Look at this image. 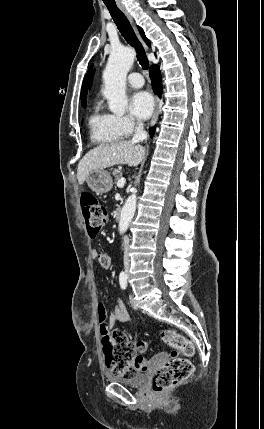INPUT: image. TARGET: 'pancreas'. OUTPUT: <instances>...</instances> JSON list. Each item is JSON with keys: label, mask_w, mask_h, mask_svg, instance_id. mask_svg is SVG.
<instances>
[{"label": "pancreas", "mask_w": 264, "mask_h": 429, "mask_svg": "<svg viewBox=\"0 0 264 429\" xmlns=\"http://www.w3.org/2000/svg\"><path fill=\"white\" fill-rule=\"evenodd\" d=\"M112 174L117 181L122 177V173L119 170H114Z\"/></svg>", "instance_id": "cf45deb5"}]
</instances>
